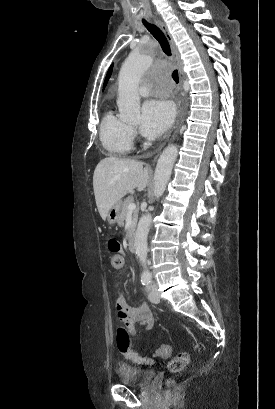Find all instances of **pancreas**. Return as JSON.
Listing matches in <instances>:
<instances>
[{
  "instance_id": "obj_1",
  "label": "pancreas",
  "mask_w": 275,
  "mask_h": 409,
  "mask_svg": "<svg viewBox=\"0 0 275 409\" xmlns=\"http://www.w3.org/2000/svg\"><path fill=\"white\" fill-rule=\"evenodd\" d=\"M134 198L133 196H127V198H125L124 202H122V213L119 217V221H118V225H123L126 217H127V213H128V205H130V202H133ZM137 219H138V209H135V211H133V219H132V225H130L129 229H128V233H127V237L128 235H131V233H133V231H135L136 229V225H137Z\"/></svg>"
}]
</instances>
